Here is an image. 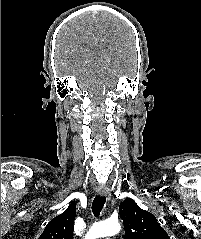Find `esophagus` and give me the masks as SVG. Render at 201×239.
Returning <instances> with one entry per match:
<instances>
[{
  "label": "esophagus",
  "instance_id": "1",
  "mask_svg": "<svg viewBox=\"0 0 201 239\" xmlns=\"http://www.w3.org/2000/svg\"><path fill=\"white\" fill-rule=\"evenodd\" d=\"M97 194L100 196H104L106 197L108 200H110V191L108 188L103 187V186H99L97 188Z\"/></svg>",
  "mask_w": 201,
  "mask_h": 239
}]
</instances>
